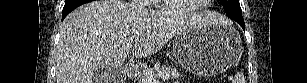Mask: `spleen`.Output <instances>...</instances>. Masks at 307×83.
Wrapping results in <instances>:
<instances>
[{"mask_svg": "<svg viewBox=\"0 0 307 83\" xmlns=\"http://www.w3.org/2000/svg\"><path fill=\"white\" fill-rule=\"evenodd\" d=\"M233 83H245V78L243 73L238 72L233 79Z\"/></svg>", "mask_w": 307, "mask_h": 83, "instance_id": "obj_1", "label": "spleen"}]
</instances>
